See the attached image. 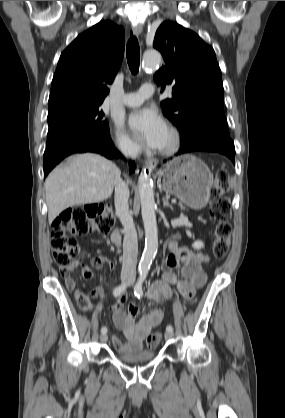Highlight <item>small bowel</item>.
Segmentation results:
<instances>
[{
    "label": "small bowel",
    "instance_id": "c3829d8e",
    "mask_svg": "<svg viewBox=\"0 0 285 418\" xmlns=\"http://www.w3.org/2000/svg\"><path fill=\"white\" fill-rule=\"evenodd\" d=\"M169 247L171 254L163 262L162 276L152 281L147 291L149 299L158 308L142 314L137 320L138 308L136 305L131 304L127 312L122 309L123 295L113 304L114 322L129 340V343L126 344L117 335H113L111 340L116 350L126 352L142 348V343L151 330L162 323L165 316L164 302L173 296V287L186 300L192 301L195 299L197 291L205 285L207 277L200 266V262L206 260V257L187 248H179L175 243H170ZM102 259L109 270H114V265L107 258ZM77 265H79V261L74 260L72 267ZM65 283L68 288L74 286V281L69 272L65 275ZM101 293V289L96 287L90 292V296H99ZM78 304L83 311L91 309L89 296L86 303L78 300Z\"/></svg>",
    "mask_w": 285,
    "mask_h": 418
}]
</instances>
